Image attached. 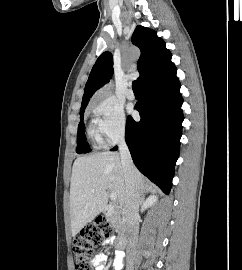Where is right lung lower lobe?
Wrapping results in <instances>:
<instances>
[{"label":"right lung lower lobe","instance_id":"98d812e1","mask_svg":"<svg viewBox=\"0 0 242 270\" xmlns=\"http://www.w3.org/2000/svg\"><path fill=\"white\" fill-rule=\"evenodd\" d=\"M176 67L170 61L141 85L140 121L128 117L125 140L141 173L168 194L179 156L184 119ZM117 150V147L111 149Z\"/></svg>","mask_w":242,"mask_h":270}]
</instances>
